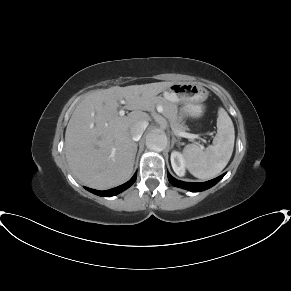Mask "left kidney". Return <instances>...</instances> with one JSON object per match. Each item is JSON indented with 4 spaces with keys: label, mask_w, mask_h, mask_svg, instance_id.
<instances>
[{
    "label": "left kidney",
    "mask_w": 291,
    "mask_h": 291,
    "mask_svg": "<svg viewBox=\"0 0 291 291\" xmlns=\"http://www.w3.org/2000/svg\"><path fill=\"white\" fill-rule=\"evenodd\" d=\"M171 165L174 172L182 177L185 175V160L183 155L178 151H173L171 153Z\"/></svg>",
    "instance_id": "1"
}]
</instances>
